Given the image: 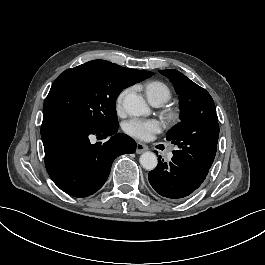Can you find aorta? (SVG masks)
I'll return each mask as SVG.
<instances>
[{
    "mask_svg": "<svg viewBox=\"0 0 265 265\" xmlns=\"http://www.w3.org/2000/svg\"><path fill=\"white\" fill-rule=\"evenodd\" d=\"M123 107L129 115L142 116L150 112L146 102L136 94H128L123 100ZM140 164L145 170H154L158 164L156 155L153 152H144L139 158Z\"/></svg>",
    "mask_w": 265,
    "mask_h": 265,
    "instance_id": "aorta-1",
    "label": "aorta"
}]
</instances>
